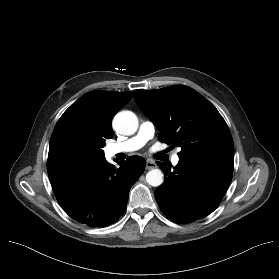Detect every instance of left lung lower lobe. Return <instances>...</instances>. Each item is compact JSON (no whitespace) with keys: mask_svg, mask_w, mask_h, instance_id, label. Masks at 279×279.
Masks as SVG:
<instances>
[{"mask_svg":"<svg viewBox=\"0 0 279 279\" xmlns=\"http://www.w3.org/2000/svg\"><path fill=\"white\" fill-rule=\"evenodd\" d=\"M233 162L228 158L179 156L174 170L158 162L165 175L164 183L155 191L161 211L179 223L212 213L231 183Z\"/></svg>","mask_w":279,"mask_h":279,"instance_id":"obj_1","label":"left lung lower lobe"}]
</instances>
